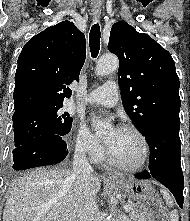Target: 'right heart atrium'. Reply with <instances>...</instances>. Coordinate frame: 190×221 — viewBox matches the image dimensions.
Instances as JSON below:
<instances>
[{"mask_svg":"<svg viewBox=\"0 0 190 221\" xmlns=\"http://www.w3.org/2000/svg\"><path fill=\"white\" fill-rule=\"evenodd\" d=\"M75 150L95 160L103 153L101 142L84 125H79L74 137Z\"/></svg>","mask_w":190,"mask_h":221,"instance_id":"1","label":"right heart atrium"}]
</instances>
